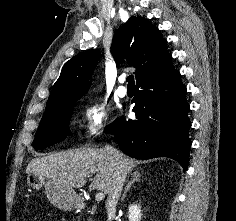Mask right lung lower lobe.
Listing matches in <instances>:
<instances>
[{
    "label": "right lung lower lobe",
    "mask_w": 236,
    "mask_h": 221,
    "mask_svg": "<svg viewBox=\"0 0 236 221\" xmlns=\"http://www.w3.org/2000/svg\"><path fill=\"white\" fill-rule=\"evenodd\" d=\"M135 120L123 117L105 128L127 155L138 159L170 157L187 169L191 142L186 87L171 57L136 84Z\"/></svg>",
    "instance_id": "1"
}]
</instances>
